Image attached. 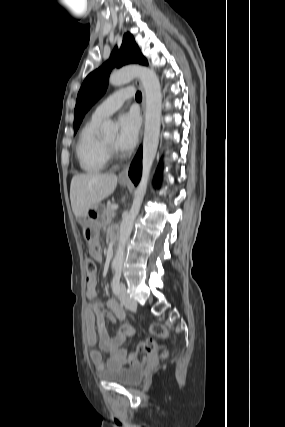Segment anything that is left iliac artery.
Instances as JSON below:
<instances>
[{"instance_id": "44dca946", "label": "left iliac artery", "mask_w": 285, "mask_h": 427, "mask_svg": "<svg viewBox=\"0 0 285 427\" xmlns=\"http://www.w3.org/2000/svg\"><path fill=\"white\" fill-rule=\"evenodd\" d=\"M120 278H121V269H116L113 277V282H112V290L115 295L119 294Z\"/></svg>"}]
</instances>
